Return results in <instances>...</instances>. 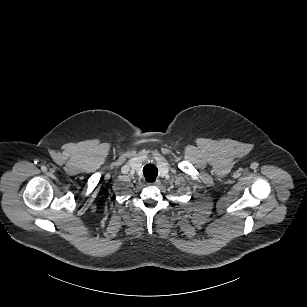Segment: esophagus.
I'll list each match as a JSON object with an SVG mask.
<instances>
[{
    "mask_svg": "<svg viewBox=\"0 0 307 307\" xmlns=\"http://www.w3.org/2000/svg\"><path fill=\"white\" fill-rule=\"evenodd\" d=\"M149 185L159 186L161 184L160 180H155L154 182H148Z\"/></svg>",
    "mask_w": 307,
    "mask_h": 307,
    "instance_id": "34e87169",
    "label": "esophagus"
}]
</instances>
